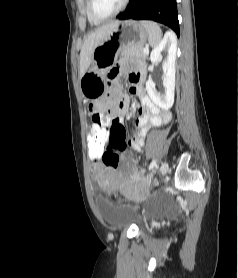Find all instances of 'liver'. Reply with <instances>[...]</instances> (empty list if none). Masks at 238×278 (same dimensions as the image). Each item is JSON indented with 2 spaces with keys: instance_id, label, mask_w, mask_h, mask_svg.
Listing matches in <instances>:
<instances>
[{
  "instance_id": "liver-1",
  "label": "liver",
  "mask_w": 238,
  "mask_h": 278,
  "mask_svg": "<svg viewBox=\"0 0 238 278\" xmlns=\"http://www.w3.org/2000/svg\"><path fill=\"white\" fill-rule=\"evenodd\" d=\"M119 23V21H112L104 24L87 37L80 53V77L88 70L94 49L108 37L109 32Z\"/></svg>"
}]
</instances>
